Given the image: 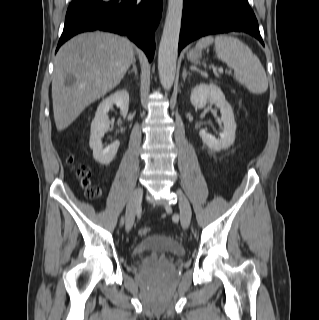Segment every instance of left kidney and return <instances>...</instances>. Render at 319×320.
Instances as JSON below:
<instances>
[{"instance_id":"left-kidney-1","label":"left kidney","mask_w":319,"mask_h":320,"mask_svg":"<svg viewBox=\"0 0 319 320\" xmlns=\"http://www.w3.org/2000/svg\"><path fill=\"white\" fill-rule=\"evenodd\" d=\"M191 103L196 108H203L207 102L215 104L221 113V121L223 122V132L220 139L207 133L205 129L199 131V135L211 150L221 151L229 148L235 141L236 123L234 120L233 110L226 101L225 95L214 83H200L194 87L190 97Z\"/></svg>"}]
</instances>
